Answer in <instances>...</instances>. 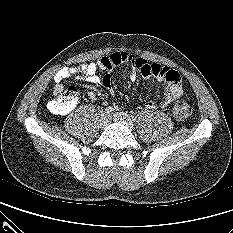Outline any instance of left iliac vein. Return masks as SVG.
<instances>
[{"instance_id":"4c4485c4","label":"left iliac vein","mask_w":233,"mask_h":233,"mask_svg":"<svg viewBox=\"0 0 233 233\" xmlns=\"http://www.w3.org/2000/svg\"><path fill=\"white\" fill-rule=\"evenodd\" d=\"M113 119L114 121L118 122V123H122L125 126H127L128 128H133V122L130 119V117L124 113V112H117L113 115Z\"/></svg>"}]
</instances>
